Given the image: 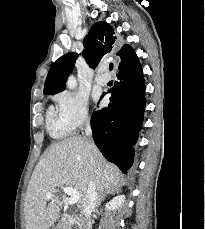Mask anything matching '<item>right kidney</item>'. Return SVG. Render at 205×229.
I'll use <instances>...</instances> for the list:
<instances>
[{
	"label": "right kidney",
	"mask_w": 205,
	"mask_h": 229,
	"mask_svg": "<svg viewBox=\"0 0 205 229\" xmlns=\"http://www.w3.org/2000/svg\"><path fill=\"white\" fill-rule=\"evenodd\" d=\"M125 196L124 195H119L114 197L110 202L106 204V211H113L118 209L119 207L122 206L124 203Z\"/></svg>",
	"instance_id": "ca27d5eb"
}]
</instances>
